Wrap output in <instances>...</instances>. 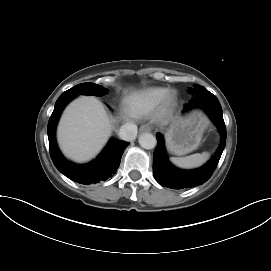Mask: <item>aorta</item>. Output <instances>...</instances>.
<instances>
[{
	"mask_svg": "<svg viewBox=\"0 0 271 271\" xmlns=\"http://www.w3.org/2000/svg\"><path fill=\"white\" fill-rule=\"evenodd\" d=\"M139 144L144 149H153L157 144V140L151 133H143L139 137Z\"/></svg>",
	"mask_w": 271,
	"mask_h": 271,
	"instance_id": "1",
	"label": "aorta"
}]
</instances>
